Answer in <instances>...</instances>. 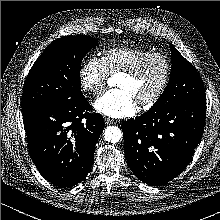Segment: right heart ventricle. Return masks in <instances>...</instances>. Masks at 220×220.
<instances>
[{
  "label": "right heart ventricle",
  "instance_id": "1",
  "mask_svg": "<svg viewBox=\"0 0 220 220\" xmlns=\"http://www.w3.org/2000/svg\"><path fill=\"white\" fill-rule=\"evenodd\" d=\"M150 52L134 46H115L103 50L102 60L109 74H117Z\"/></svg>",
  "mask_w": 220,
  "mask_h": 220
}]
</instances>
